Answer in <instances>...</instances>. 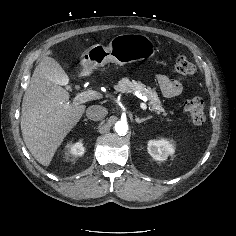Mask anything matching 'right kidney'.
Wrapping results in <instances>:
<instances>
[{
	"mask_svg": "<svg viewBox=\"0 0 236 236\" xmlns=\"http://www.w3.org/2000/svg\"><path fill=\"white\" fill-rule=\"evenodd\" d=\"M84 147L82 141H78L75 144L68 147L67 154H71L73 156H82L84 154Z\"/></svg>",
	"mask_w": 236,
	"mask_h": 236,
	"instance_id": "right-kidney-1",
	"label": "right kidney"
}]
</instances>
